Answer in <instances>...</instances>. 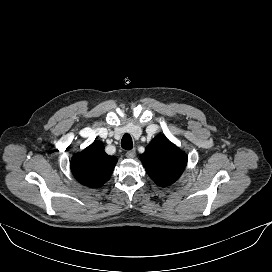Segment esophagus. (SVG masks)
<instances>
[{"label":"esophagus","instance_id":"1","mask_svg":"<svg viewBox=\"0 0 272 272\" xmlns=\"http://www.w3.org/2000/svg\"><path fill=\"white\" fill-rule=\"evenodd\" d=\"M135 149L129 150L126 152V157L128 158H134L135 157Z\"/></svg>","mask_w":272,"mask_h":272}]
</instances>
